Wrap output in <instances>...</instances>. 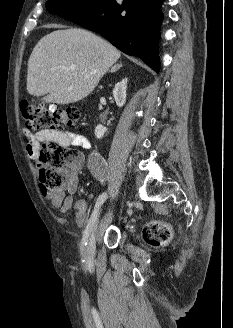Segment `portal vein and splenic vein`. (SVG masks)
<instances>
[{
	"mask_svg": "<svg viewBox=\"0 0 233 328\" xmlns=\"http://www.w3.org/2000/svg\"><path fill=\"white\" fill-rule=\"evenodd\" d=\"M70 69L73 71V70L75 69V67H74V66H72Z\"/></svg>",
	"mask_w": 233,
	"mask_h": 328,
	"instance_id": "1",
	"label": "portal vein and splenic vein"
}]
</instances>
